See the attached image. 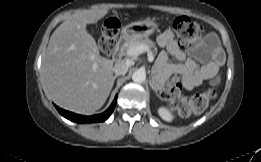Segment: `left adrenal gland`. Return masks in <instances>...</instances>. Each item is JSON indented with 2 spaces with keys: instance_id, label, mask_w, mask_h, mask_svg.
Returning a JSON list of instances; mask_svg holds the SVG:
<instances>
[{
  "instance_id": "a2214340",
  "label": "left adrenal gland",
  "mask_w": 261,
  "mask_h": 162,
  "mask_svg": "<svg viewBox=\"0 0 261 162\" xmlns=\"http://www.w3.org/2000/svg\"><path fill=\"white\" fill-rule=\"evenodd\" d=\"M150 86H151V88L155 91L156 95H157L158 97H160V95H158V93H157L155 87L153 86V84L151 83V81H150Z\"/></svg>"
}]
</instances>
